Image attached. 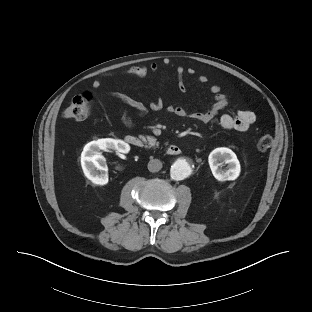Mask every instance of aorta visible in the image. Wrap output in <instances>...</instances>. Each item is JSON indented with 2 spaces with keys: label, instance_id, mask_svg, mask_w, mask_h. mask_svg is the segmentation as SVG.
<instances>
[{
  "label": "aorta",
  "instance_id": "aorta-1",
  "mask_svg": "<svg viewBox=\"0 0 312 312\" xmlns=\"http://www.w3.org/2000/svg\"><path fill=\"white\" fill-rule=\"evenodd\" d=\"M191 165L184 159H178L170 169L171 178L174 180H183L191 174Z\"/></svg>",
  "mask_w": 312,
  "mask_h": 312
}]
</instances>
